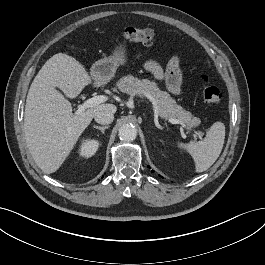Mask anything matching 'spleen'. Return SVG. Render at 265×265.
<instances>
[{
	"label": "spleen",
	"instance_id": "1",
	"mask_svg": "<svg viewBox=\"0 0 265 265\" xmlns=\"http://www.w3.org/2000/svg\"><path fill=\"white\" fill-rule=\"evenodd\" d=\"M224 139V124L222 122H215L207 131L206 137L202 141H191L187 144L178 143V146L186 149L193 157L196 172H203L211 167L219 157Z\"/></svg>",
	"mask_w": 265,
	"mask_h": 265
}]
</instances>
